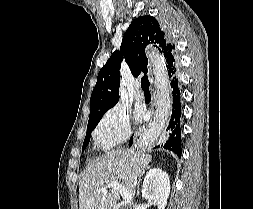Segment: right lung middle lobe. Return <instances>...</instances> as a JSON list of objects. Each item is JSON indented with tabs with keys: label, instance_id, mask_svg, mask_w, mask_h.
<instances>
[{
	"label": "right lung middle lobe",
	"instance_id": "1",
	"mask_svg": "<svg viewBox=\"0 0 253 209\" xmlns=\"http://www.w3.org/2000/svg\"><path fill=\"white\" fill-rule=\"evenodd\" d=\"M104 114H101L99 116H96V117H93V118H90L89 121H88V126H87V133H86V138L84 140V143H83V148H82V151L85 150V148L87 147L89 141H90V134L92 132V130L96 127V125L98 124V122L101 120L102 116Z\"/></svg>",
	"mask_w": 253,
	"mask_h": 209
}]
</instances>
